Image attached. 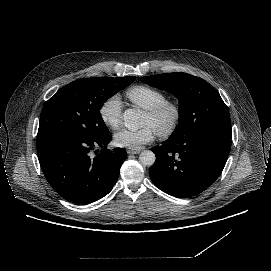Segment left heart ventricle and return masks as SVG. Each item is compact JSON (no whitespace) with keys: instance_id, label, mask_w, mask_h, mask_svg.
I'll return each instance as SVG.
<instances>
[{"instance_id":"left-heart-ventricle-1","label":"left heart ventricle","mask_w":271,"mask_h":271,"mask_svg":"<svg viewBox=\"0 0 271 271\" xmlns=\"http://www.w3.org/2000/svg\"><path fill=\"white\" fill-rule=\"evenodd\" d=\"M168 120V117L161 118L159 120H153L151 117H149L146 113L144 114L143 117V125H149L153 128L154 131L158 128V125L161 123H164Z\"/></svg>"}]
</instances>
